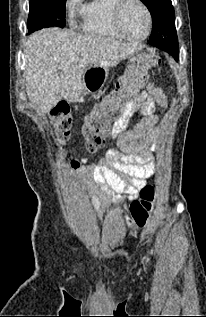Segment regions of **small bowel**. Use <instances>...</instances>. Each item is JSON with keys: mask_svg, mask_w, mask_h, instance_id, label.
<instances>
[{"mask_svg": "<svg viewBox=\"0 0 206 317\" xmlns=\"http://www.w3.org/2000/svg\"><path fill=\"white\" fill-rule=\"evenodd\" d=\"M156 104L166 108L167 99L163 91L149 83L138 97L130 102L123 116L112 129L111 136L117 149H110L106 156L95 165H88L80 172L83 189L91 194L94 209L100 218L105 213V194L115 193L112 203L120 205L135 198L139 189L155 169L153 154L159 129V116L155 114ZM139 111L143 118L128 129L131 117ZM132 178L126 183L120 176Z\"/></svg>", "mask_w": 206, "mask_h": 317, "instance_id": "c3829d8e", "label": "small bowel"}]
</instances>
